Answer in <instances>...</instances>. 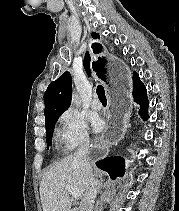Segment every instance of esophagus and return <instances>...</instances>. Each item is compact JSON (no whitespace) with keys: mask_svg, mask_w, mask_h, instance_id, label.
<instances>
[{"mask_svg":"<svg viewBox=\"0 0 179 211\" xmlns=\"http://www.w3.org/2000/svg\"><path fill=\"white\" fill-rule=\"evenodd\" d=\"M92 47L94 48V45ZM101 50L103 45H95L93 57L97 64H94V69L98 79L105 82L109 119H106V128L101 134L102 140H99V144H93V151H90L91 163H100L110 145H118V141H121V133L127 130V121L130 117L128 109L131 108L130 94L127 93L131 91V83L126 77L127 64H122L120 56H106V52Z\"/></svg>","mask_w":179,"mask_h":211,"instance_id":"obj_1","label":"esophagus"}]
</instances>
